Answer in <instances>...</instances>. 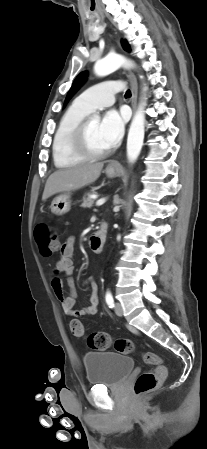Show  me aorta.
<instances>
[{
	"label": "aorta",
	"instance_id": "obj_1",
	"mask_svg": "<svg viewBox=\"0 0 207 449\" xmlns=\"http://www.w3.org/2000/svg\"><path fill=\"white\" fill-rule=\"evenodd\" d=\"M121 66H127L131 67L133 64L126 60L123 56L119 54H110L106 56L105 58L98 60L95 63L94 71L96 75L98 76H106L110 73L116 71ZM100 120V117L98 115H95L92 122L98 123ZM145 113H144V102L142 100L141 104L139 105L132 123L130 125V129L128 132V138H127V158L128 160L133 163L137 160L142 146H143V140H144V131H145Z\"/></svg>",
	"mask_w": 207,
	"mask_h": 449
}]
</instances>
